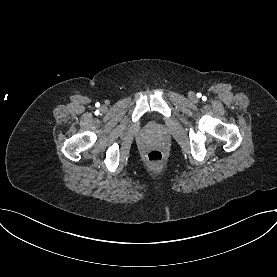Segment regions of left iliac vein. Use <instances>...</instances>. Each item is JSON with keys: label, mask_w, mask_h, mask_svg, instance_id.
<instances>
[{"label": "left iliac vein", "mask_w": 277, "mask_h": 277, "mask_svg": "<svg viewBox=\"0 0 277 277\" xmlns=\"http://www.w3.org/2000/svg\"><path fill=\"white\" fill-rule=\"evenodd\" d=\"M191 99H192V100H194V99H195V96H194V95H192V96H191Z\"/></svg>", "instance_id": "4c4485c4"}]
</instances>
